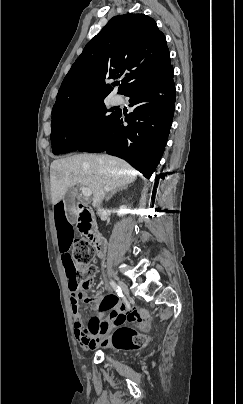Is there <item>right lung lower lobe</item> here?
Instances as JSON below:
<instances>
[{
  "label": "right lung lower lobe",
  "instance_id": "98d812e1",
  "mask_svg": "<svg viewBox=\"0 0 243 404\" xmlns=\"http://www.w3.org/2000/svg\"><path fill=\"white\" fill-rule=\"evenodd\" d=\"M134 111L117 116L96 137L81 146L80 152H103L129 162L147 179L159 164L174 115L175 86L173 66L140 83L126 94ZM127 126H123V122Z\"/></svg>",
  "mask_w": 243,
  "mask_h": 404
}]
</instances>
